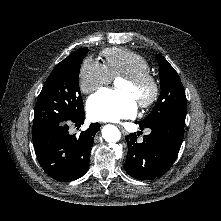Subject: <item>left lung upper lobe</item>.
I'll use <instances>...</instances> for the list:
<instances>
[{
    "label": "left lung upper lobe",
    "instance_id": "5c2ea615",
    "mask_svg": "<svg viewBox=\"0 0 221 221\" xmlns=\"http://www.w3.org/2000/svg\"><path fill=\"white\" fill-rule=\"evenodd\" d=\"M157 61L161 93L149 116L139 121L143 125L172 115H186L185 90L179 75L162 55H157Z\"/></svg>",
    "mask_w": 221,
    "mask_h": 221
}]
</instances>
